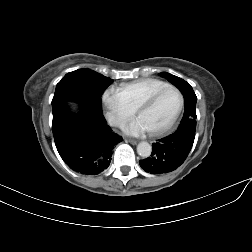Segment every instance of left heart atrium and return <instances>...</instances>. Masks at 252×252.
Here are the masks:
<instances>
[{"mask_svg": "<svg viewBox=\"0 0 252 252\" xmlns=\"http://www.w3.org/2000/svg\"><path fill=\"white\" fill-rule=\"evenodd\" d=\"M125 132L131 135H140L147 131L144 123L139 119H135L127 124L124 128Z\"/></svg>", "mask_w": 252, "mask_h": 252, "instance_id": "1", "label": "left heart atrium"}]
</instances>
